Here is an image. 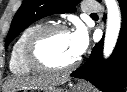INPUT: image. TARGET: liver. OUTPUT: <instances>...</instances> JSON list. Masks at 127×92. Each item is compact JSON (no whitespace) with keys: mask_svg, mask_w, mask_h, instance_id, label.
Returning <instances> with one entry per match:
<instances>
[{"mask_svg":"<svg viewBox=\"0 0 127 92\" xmlns=\"http://www.w3.org/2000/svg\"><path fill=\"white\" fill-rule=\"evenodd\" d=\"M70 81V78L57 75H42L33 77H13L3 85V92H15L24 89L48 91L58 85Z\"/></svg>","mask_w":127,"mask_h":92,"instance_id":"liver-1","label":"liver"}]
</instances>
